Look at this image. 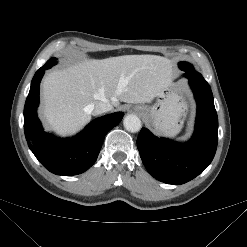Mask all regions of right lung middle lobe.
<instances>
[{"instance_id": "obj_1", "label": "right lung middle lobe", "mask_w": 247, "mask_h": 247, "mask_svg": "<svg viewBox=\"0 0 247 247\" xmlns=\"http://www.w3.org/2000/svg\"><path fill=\"white\" fill-rule=\"evenodd\" d=\"M57 62V59L55 57H52L51 59H49L46 64L42 67L46 68V69H49L51 68L52 66L55 65V63Z\"/></svg>"}]
</instances>
